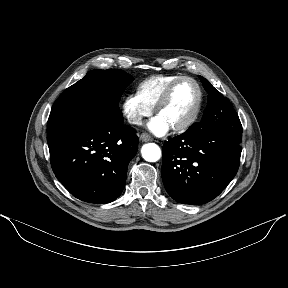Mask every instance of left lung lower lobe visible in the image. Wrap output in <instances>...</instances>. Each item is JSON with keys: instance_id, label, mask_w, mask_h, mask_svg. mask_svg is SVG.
Returning <instances> with one entry per match:
<instances>
[{"instance_id": "1", "label": "left lung lower lobe", "mask_w": 288, "mask_h": 288, "mask_svg": "<svg viewBox=\"0 0 288 288\" xmlns=\"http://www.w3.org/2000/svg\"><path fill=\"white\" fill-rule=\"evenodd\" d=\"M240 143L207 128L187 130L165 141L162 179L167 193L182 204L213 200L238 171Z\"/></svg>"}]
</instances>
